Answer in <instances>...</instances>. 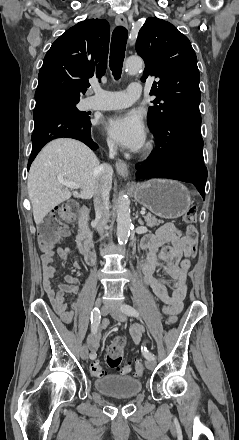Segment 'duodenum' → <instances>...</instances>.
I'll return each instance as SVG.
<instances>
[{
	"label": "duodenum",
	"mask_w": 239,
	"mask_h": 440,
	"mask_svg": "<svg viewBox=\"0 0 239 440\" xmlns=\"http://www.w3.org/2000/svg\"><path fill=\"white\" fill-rule=\"evenodd\" d=\"M90 211L88 207L83 206L79 212L78 218V236L77 246L79 251L85 257L88 264H92L95 259L94 245L92 239V233L88 225Z\"/></svg>",
	"instance_id": "obj_1"
}]
</instances>
